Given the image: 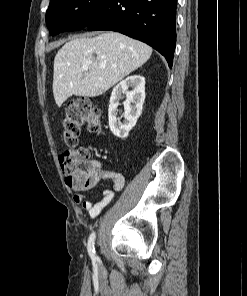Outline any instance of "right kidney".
Wrapping results in <instances>:
<instances>
[{
    "instance_id": "obj_1",
    "label": "right kidney",
    "mask_w": 247,
    "mask_h": 296,
    "mask_svg": "<svg viewBox=\"0 0 247 296\" xmlns=\"http://www.w3.org/2000/svg\"><path fill=\"white\" fill-rule=\"evenodd\" d=\"M129 87L132 88L131 91H128ZM122 94L126 95V100L123 102V122L117 117V107ZM144 100L145 78L141 75L129 76L114 87L109 101L108 118L110 130L115 136L121 139L128 136L141 115Z\"/></svg>"
}]
</instances>
